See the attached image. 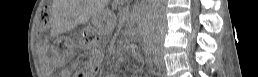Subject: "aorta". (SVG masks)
Here are the masks:
<instances>
[{"label": "aorta", "instance_id": "1", "mask_svg": "<svg viewBox=\"0 0 258 77\" xmlns=\"http://www.w3.org/2000/svg\"><path fill=\"white\" fill-rule=\"evenodd\" d=\"M164 9V0H153L151 9L149 11V17L152 20L157 19Z\"/></svg>", "mask_w": 258, "mask_h": 77}]
</instances>
